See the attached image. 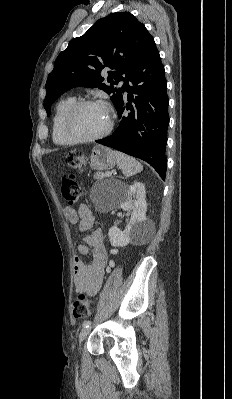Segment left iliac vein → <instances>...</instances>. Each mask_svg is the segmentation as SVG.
Returning a JSON list of instances; mask_svg holds the SVG:
<instances>
[{"instance_id": "1", "label": "left iliac vein", "mask_w": 232, "mask_h": 399, "mask_svg": "<svg viewBox=\"0 0 232 399\" xmlns=\"http://www.w3.org/2000/svg\"><path fill=\"white\" fill-rule=\"evenodd\" d=\"M89 332H90L89 328L83 329L82 332H79L78 333L79 340H86V337L87 335H89Z\"/></svg>"}]
</instances>
